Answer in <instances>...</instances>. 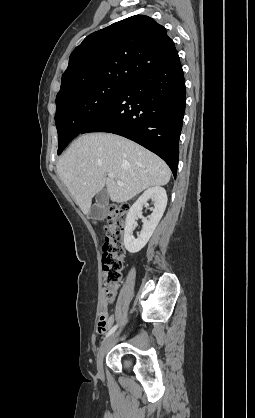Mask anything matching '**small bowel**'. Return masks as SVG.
I'll use <instances>...</instances> for the list:
<instances>
[{"mask_svg": "<svg viewBox=\"0 0 255 418\" xmlns=\"http://www.w3.org/2000/svg\"><path fill=\"white\" fill-rule=\"evenodd\" d=\"M102 313H104L106 315V326L103 330H99V333H104L114 322V316L113 315H108L106 309L102 310Z\"/></svg>", "mask_w": 255, "mask_h": 418, "instance_id": "obj_1", "label": "small bowel"}]
</instances>
